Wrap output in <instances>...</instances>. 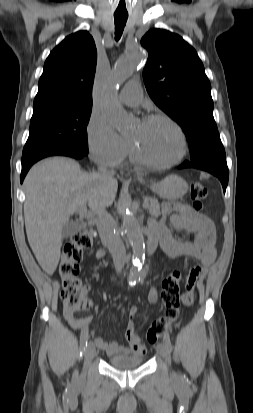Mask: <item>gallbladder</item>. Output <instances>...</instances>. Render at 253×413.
<instances>
[{"instance_id": "gallbladder-1", "label": "gallbladder", "mask_w": 253, "mask_h": 413, "mask_svg": "<svg viewBox=\"0 0 253 413\" xmlns=\"http://www.w3.org/2000/svg\"><path fill=\"white\" fill-rule=\"evenodd\" d=\"M79 230V223L74 220H69L62 228V238H68L74 233L78 232Z\"/></svg>"}]
</instances>
